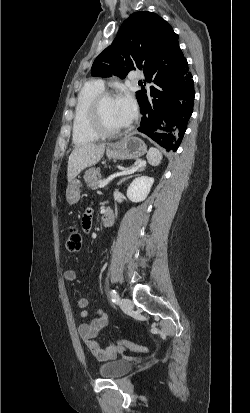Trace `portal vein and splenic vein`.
Returning <instances> with one entry per match:
<instances>
[{"label": "portal vein and splenic vein", "mask_w": 250, "mask_h": 413, "mask_svg": "<svg viewBox=\"0 0 250 413\" xmlns=\"http://www.w3.org/2000/svg\"><path fill=\"white\" fill-rule=\"evenodd\" d=\"M136 169H137V168H135V167L131 168L130 170H128V169H122V172L115 173V174L111 175L110 177H108L106 180L100 181L98 187H99V188H103V187L107 186L115 177L120 176V175H123V174H126V173H129V172H133V171H135Z\"/></svg>", "instance_id": "portal-vein-and-splenic-vein-1"}]
</instances>
